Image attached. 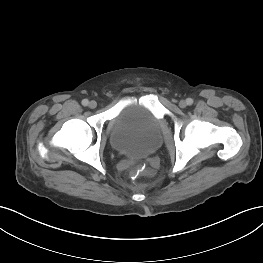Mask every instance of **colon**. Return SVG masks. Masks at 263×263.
<instances>
[{"label":"colon","instance_id":"1","mask_svg":"<svg viewBox=\"0 0 263 263\" xmlns=\"http://www.w3.org/2000/svg\"><path fill=\"white\" fill-rule=\"evenodd\" d=\"M133 174L136 176H145L148 174V171L145 169L144 166L139 165L134 169Z\"/></svg>","mask_w":263,"mask_h":263}]
</instances>
